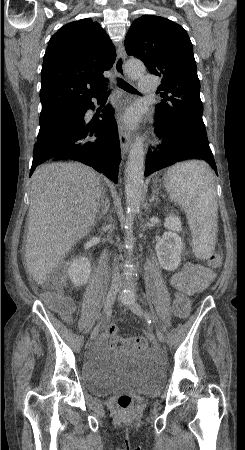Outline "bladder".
Here are the masks:
<instances>
[{
  "instance_id": "obj_1",
  "label": "bladder",
  "mask_w": 245,
  "mask_h": 450,
  "mask_svg": "<svg viewBox=\"0 0 245 450\" xmlns=\"http://www.w3.org/2000/svg\"><path fill=\"white\" fill-rule=\"evenodd\" d=\"M80 377L94 396H107L114 390L131 389L153 394L163 382V372L142 355L107 354L81 364Z\"/></svg>"
}]
</instances>
